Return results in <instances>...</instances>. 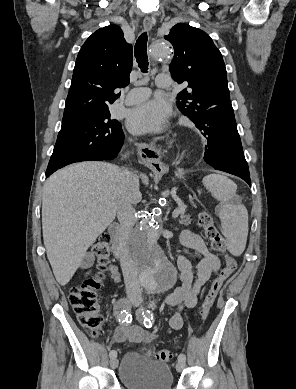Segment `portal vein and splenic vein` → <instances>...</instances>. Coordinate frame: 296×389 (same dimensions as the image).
<instances>
[{"instance_id":"obj_1","label":"portal vein and splenic vein","mask_w":296,"mask_h":389,"mask_svg":"<svg viewBox=\"0 0 296 389\" xmlns=\"http://www.w3.org/2000/svg\"><path fill=\"white\" fill-rule=\"evenodd\" d=\"M184 210H185V208L182 207V206L177 207V208L173 211L172 217H173V218L178 217L181 213L184 212Z\"/></svg>"}]
</instances>
